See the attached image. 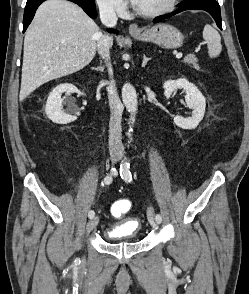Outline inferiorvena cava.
Listing matches in <instances>:
<instances>
[{"mask_svg": "<svg viewBox=\"0 0 249 294\" xmlns=\"http://www.w3.org/2000/svg\"><path fill=\"white\" fill-rule=\"evenodd\" d=\"M100 19L102 24L107 28H112L117 24V16L112 5L102 3L99 5ZM112 46V38L110 35H102L98 41L97 51L102 59L105 60L108 67V73L112 78L113 70L110 63V48ZM108 100L110 106V122H109V147L119 148L122 145V128L121 119L123 107L119 99L115 82L112 79L107 87Z\"/></svg>", "mask_w": 249, "mask_h": 294, "instance_id": "inferior-vena-cava-1", "label": "inferior vena cava"}]
</instances>
